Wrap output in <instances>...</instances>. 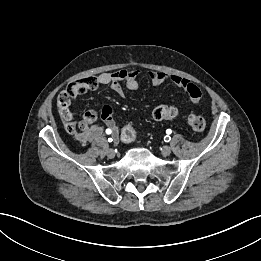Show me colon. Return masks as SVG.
Here are the masks:
<instances>
[{"label": "colon", "instance_id": "5ec220e1", "mask_svg": "<svg viewBox=\"0 0 261 261\" xmlns=\"http://www.w3.org/2000/svg\"><path fill=\"white\" fill-rule=\"evenodd\" d=\"M92 85H93L92 78L82 79L71 83L58 96L57 104L66 122V129L70 132L76 129V124L72 121V114L68 108L70 105V101L72 98H75L81 95L82 93H84L85 90L88 87H91ZM98 115L101 116V111L89 112V117L92 120H95L98 117ZM176 116H177V110L174 107H170V106H158L152 112V118L158 121L172 120L176 118ZM187 123L192 130L197 132L203 131L206 127L205 119L202 116L196 114L189 115L187 119ZM85 126H86V122L82 121L79 123V127L81 129H83ZM120 137L124 142L127 143L133 142L137 137V130L133 125L127 124L122 128Z\"/></svg>", "mask_w": 261, "mask_h": 261}]
</instances>
